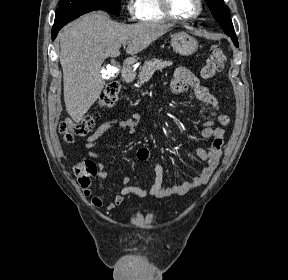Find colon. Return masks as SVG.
Listing matches in <instances>:
<instances>
[{
    "mask_svg": "<svg viewBox=\"0 0 288 280\" xmlns=\"http://www.w3.org/2000/svg\"><path fill=\"white\" fill-rule=\"evenodd\" d=\"M225 64V54L221 47L214 45L210 48L206 57L202 76L206 79L214 78L222 71ZM121 85L118 81L108 83L100 94L98 106L110 108L116 104L119 99ZM95 125L92 115H86L82 119L75 121L70 118L64 119L60 124V133L67 142H72L75 137H83L89 134ZM75 174L80 185L90 186L91 177L96 174L97 168L94 162L90 160L82 161L74 167Z\"/></svg>",
    "mask_w": 288,
    "mask_h": 280,
    "instance_id": "1",
    "label": "colon"
}]
</instances>
